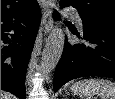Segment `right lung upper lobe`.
Here are the masks:
<instances>
[{"mask_svg": "<svg viewBox=\"0 0 115 99\" xmlns=\"http://www.w3.org/2000/svg\"><path fill=\"white\" fill-rule=\"evenodd\" d=\"M35 0H1V15L24 9Z\"/></svg>", "mask_w": 115, "mask_h": 99, "instance_id": "cb5924a9", "label": "right lung upper lobe"}]
</instances>
